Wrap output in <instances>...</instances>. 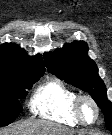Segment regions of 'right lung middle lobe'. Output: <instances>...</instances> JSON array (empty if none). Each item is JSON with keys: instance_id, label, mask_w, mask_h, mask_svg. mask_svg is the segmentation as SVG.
I'll return each instance as SVG.
<instances>
[{"instance_id": "obj_1", "label": "right lung middle lobe", "mask_w": 112, "mask_h": 135, "mask_svg": "<svg viewBox=\"0 0 112 135\" xmlns=\"http://www.w3.org/2000/svg\"><path fill=\"white\" fill-rule=\"evenodd\" d=\"M40 77L29 79L21 75H9L0 78V127L12 123L22 106L19 99L27 95L29 89Z\"/></svg>"}]
</instances>
